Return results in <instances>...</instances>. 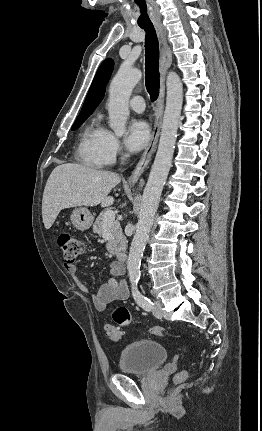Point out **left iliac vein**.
Wrapping results in <instances>:
<instances>
[{"label":"left iliac vein","mask_w":262,"mask_h":431,"mask_svg":"<svg viewBox=\"0 0 262 431\" xmlns=\"http://www.w3.org/2000/svg\"><path fill=\"white\" fill-rule=\"evenodd\" d=\"M153 315L157 318H162L163 310H162V302L161 300H157L154 302V306L152 309Z\"/></svg>","instance_id":"obj_1"}]
</instances>
